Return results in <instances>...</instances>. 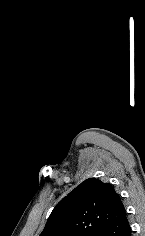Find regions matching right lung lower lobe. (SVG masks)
<instances>
[{
    "mask_svg": "<svg viewBox=\"0 0 145 236\" xmlns=\"http://www.w3.org/2000/svg\"><path fill=\"white\" fill-rule=\"evenodd\" d=\"M131 227L125 213L119 219L100 231L96 236H131Z\"/></svg>",
    "mask_w": 145,
    "mask_h": 236,
    "instance_id": "obj_1",
    "label": "right lung lower lobe"
}]
</instances>
